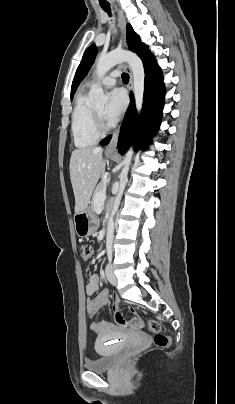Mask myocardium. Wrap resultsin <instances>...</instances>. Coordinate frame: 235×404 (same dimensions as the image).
<instances>
[{
	"mask_svg": "<svg viewBox=\"0 0 235 404\" xmlns=\"http://www.w3.org/2000/svg\"><path fill=\"white\" fill-rule=\"evenodd\" d=\"M95 128L99 135H103L110 130V125L105 121V119L96 111L93 110Z\"/></svg>",
	"mask_w": 235,
	"mask_h": 404,
	"instance_id": "1",
	"label": "myocardium"
}]
</instances>
